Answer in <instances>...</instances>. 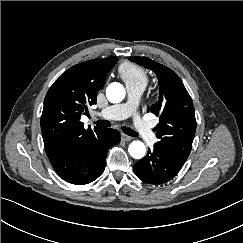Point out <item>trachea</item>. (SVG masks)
<instances>
[{
  "label": "trachea",
  "mask_w": 243,
  "mask_h": 243,
  "mask_svg": "<svg viewBox=\"0 0 243 243\" xmlns=\"http://www.w3.org/2000/svg\"><path fill=\"white\" fill-rule=\"evenodd\" d=\"M95 124L98 127H102V128L110 127V125H111V123L107 120H98L97 122H95ZM122 130H123L124 133H126L129 136H132V137L138 136V133L135 132L134 130H132L131 128H129V127L123 126Z\"/></svg>",
  "instance_id": "3493384b"
}]
</instances>
